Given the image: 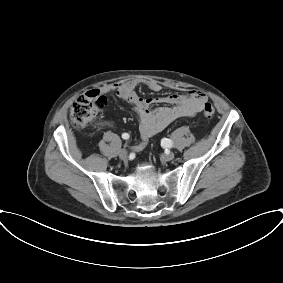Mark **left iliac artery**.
<instances>
[{"mask_svg": "<svg viewBox=\"0 0 283 283\" xmlns=\"http://www.w3.org/2000/svg\"><path fill=\"white\" fill-rule=\"evenodd\" d=\"M161 145H162L163 147L171 148V147L173 146V142H172V140H170V139H168V138H163V139L161 140Z\"/></svg>", "mask_w": 283, "mask_h": 283, "instance_id": "left-iliac-artery-1", "label": "left iliac artery"}]
</instances>
